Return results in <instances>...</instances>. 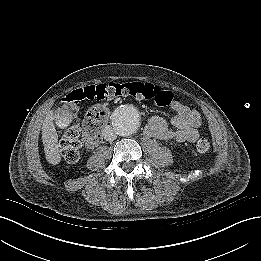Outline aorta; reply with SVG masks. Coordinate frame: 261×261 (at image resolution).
Instances as JSON below:
<instances>
[{
    "label": "aorta",
    "instance_id": "1",
    "mask_svg": "<svg viewBox=\"0 0 261 261\" xmlns=\"http://www.w3.org/2000/svg\"><path fill=\"white\" fill-rule=\"evenodd\" d=\"M113 128L120 136H128L137 131L141 124L139 109L133 104L117 107L111 116Z\"/></svg>",
    "mask_w": 261,
    "mask_h": 261
}]
</instances>
